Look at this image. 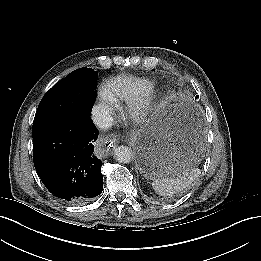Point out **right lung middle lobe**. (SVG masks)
Returning a JSON list of instances; mask_svg holds the SVG:
<instances>
[{"mask_svg": "<svg viewBox=\"0 0 261 261\" xmlns=\"http://www.w3.org/2000/svg\"><path fill=\"white\" fill-rule=\"evenodd\" d=\"M97 73L80 68L56 83L41 100L33 127L67 120L78 113H91L95 102Z\"/></svg>", "mask_w": 261, "mask_h": 261, "instance_id": "obj_1", "label": "right lung middle lobe"}]
</instances>
